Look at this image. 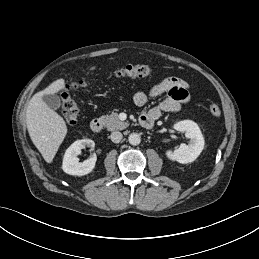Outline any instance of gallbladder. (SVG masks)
<instances>
[{
  "label": "gallbladder",
  "mask_w": 259,
  "mask_h": 259,
  "mask_svg": "<svg viewBox=\"0 0 259 259\" xmlns=\"http://www.w3.org/2000/svg\"><path fill=\"white\" fill-rule=\"evenodd\" d=\"M43 101L46 103V105L51 109H58L61 106V100L60 98L55 94H45L42 97Z\"/></svg>",
  "instance_id": "bac80fb5"
}]
</instances>
